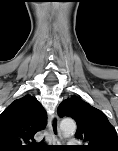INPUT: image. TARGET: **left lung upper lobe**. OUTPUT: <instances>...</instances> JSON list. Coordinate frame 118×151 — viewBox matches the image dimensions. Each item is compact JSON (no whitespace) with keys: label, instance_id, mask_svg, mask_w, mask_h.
I'll use <instances>...</instances> for the list:
<instances>
[{"label":"left lung upper lobe","instance_id":"5c2ea615","mask_svg":"<svg viewBox=\"0 0 118 151\" xmlns=\"http://www.w3.org/2000/svg\"><path fill=\"white\" fill-rule=\"evenodd\" d=\"M60 117H72L77 123L76 138L85 145L81 151H118V138L115 128L106 115L92 107L80 97L72 96L58 106Z\"/></svg>","mask_w":118,"mask_h":151}]
</instances>
